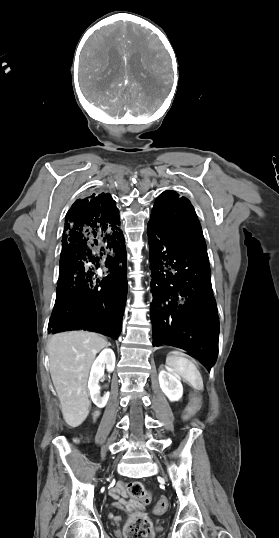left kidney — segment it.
Segmentation results:
<instances>
[{
	"label": "left kidney",
	"instance_id": "5707ae66",
	"mask_svg": "<svg viewBox=\"0 0 279 538\" xmlns=\"http://www.w3.org/2000/svg\"><path fill=\"white\" fill-rule=\"evenodd\" d=\"M178 378L179 376L169 368L161 370L159 374L160 388L171 402H177L183 396V386Z\"/></svg>",
	"mask_w": 279,
	"mask_h": 538
}]
</instances>
